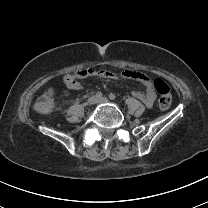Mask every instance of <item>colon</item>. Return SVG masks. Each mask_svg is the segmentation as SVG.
Returning a JSON list of instances; mask_svg holds the SVG:
<instances>
[{
  "mask_svg": "<svg viewBox=\"0 0 208 208\" xmlns=\"http://www.w3.org/2000/svg\"><path fill=\"white\" fill-rule=\"evenodd\" d=\"M153 86L159 95L158 107L166 110L171 106L172 95L171 89L167 82L162 78H155ZM58 96V90L54 86H49L45 90V96L39 98L35 102V107L42 113H49L54 107V99Z\"/></svg>",
  "mask_w": 208,
  "mask_h": 208,
  "instance_id": "1",
  "label": "colon"
}]
</instances>
